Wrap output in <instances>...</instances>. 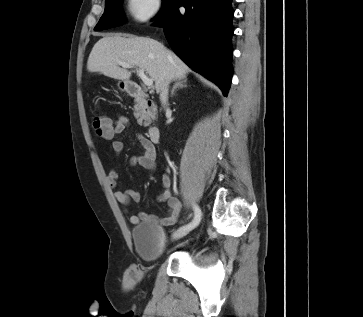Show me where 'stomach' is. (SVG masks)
<instances>
[{
	"label": "stomach",
	"instance_id": "stomach-1",
	"mask_svg": "<svg viewBox=\"0 0 363 317\" xmlns=\"http://www.w3.org/2000/svg\"><path fill=\"white\" fill-rule=\"evenodd\" d=\"M128 85H129V82L125 81V80H121V81L118 82V88L121 91H127L128 90Z\"/></svg>",
	"mask_w": 363,
	"mask_h": 317
}]
</instances>
